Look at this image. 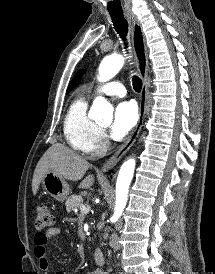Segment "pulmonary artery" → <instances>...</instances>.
<instances>
[{"mask_svg":"<svg viewBox=\"0 0 215 274\" xmlns=\"http://www.w3.org/2000/svg\"><path fill=\"white\" fill-rule=\"evenodd\" d=\"M96 94L123 97L126 95L125 87L118 81L108 82L95 90Z\"/></svg>","mask_w":215,"mask_h":274,"instance_id":"e3ab8cb5","label":"pulmonary artery"}]
</instances>
